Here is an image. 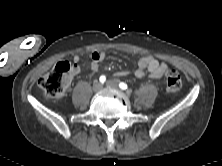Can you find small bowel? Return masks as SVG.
<instances>
[{
    "label": "small bowel",
    "instance_id": "small-bowel-1",
    "mask_svg": "<svg viewBox=\"0 0 222 166\" xmlns=\"http://www.w3.org/2000/svg\"><path fill=\"white\" fill-rule=\"evenodd\" d=\"M105 57L106 55L103 52H99V51L92 52L90 55L91 70L94 72H97L99 70L100 63L105 60ZM74 60L77 62L79 60V56H75ZM166 69H167V65L165 63L160 62L158 59H156L153 56L147 55L139 59L137 63V68L134 71V75L137 78H143L146 75H149L151 79H159L164 75ZM78 70L79 69L76 66L74 70V74H77ZM128 74L129 72L125 70L118 71L116 73L117 76H126Z\"/></svg>",
    "mask_w": 222,
    "mask_h": 166
}]
</instances>
